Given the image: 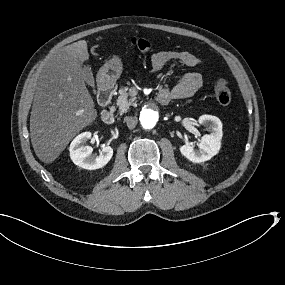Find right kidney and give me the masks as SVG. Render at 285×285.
<instances>
[{
  "mask_svg": "<svg viewBox=\"0 0 285 285\" xmlns=\"http://www.w3.org/2000/svg\"><path fill=\"white\" fill-rule=\"evenodd\" d=\"M91 138L90 132H83L76 136L70 144V158L74 164L88 170H94L105 166L113 156V149L110 146L102 148L99 155H92V147L85 146Z\"/></svg>",
  "mask_w": 285,
  "mask_h": 285,
  "instance_id": "ca27d5eb",
  "label": "right kidney"
}]
</instances>
